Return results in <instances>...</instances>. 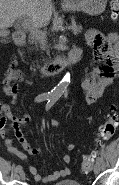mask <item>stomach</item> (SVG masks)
Wrapping results in <instances>:
<instances>
[{
	"instance_id": "obj_1",
	"label": "stomach",
	"mask_w": 119,
	"mask_h": 185,
	"mask_svg": "<svg viewBox=\"0 0 119 185\" xmlns=\"http://www.w3.org/2000/svg\"><path fill=\"white\" fill-rule=\"evenodd\" d=\"M107 0H75L70 9L84 11L88 15L101 14L106 8Z\"/></svg>"
}]
</instances>
